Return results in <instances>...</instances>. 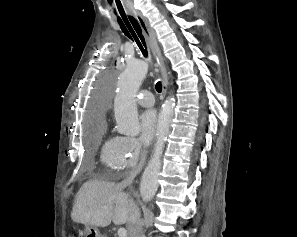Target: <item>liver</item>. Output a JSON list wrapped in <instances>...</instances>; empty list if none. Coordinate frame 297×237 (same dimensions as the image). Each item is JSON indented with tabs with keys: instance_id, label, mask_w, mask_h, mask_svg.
I'll list each match as a JSON object with an SVG mask.
<instances>
[{
	"instance_id": "liver-1",
	"label": "liver",
	"mask_w": 297,
	"mask_h": 237,
	"mask_svg": "<svg viewBox=\"0 0 297 237\" xmlns=\"http://www.w3.org/2000/svg\"><path fill=\"white\" fill-rule=\"evenodd\" d=\"M123 188L112 182L90 180L79 189L71 218L74 222L107 227L127 223L130 215L128 194Z\"/></svg>"
}]
</instances>
